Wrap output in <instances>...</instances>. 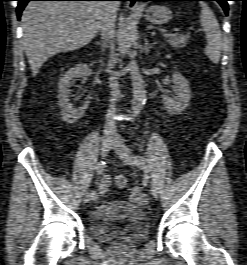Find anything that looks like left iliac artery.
<instances>
[{
	"instance_id": "obj_1",
	"label": "left iliac artery",
	"mask_w": 247,
	"mask_h": 265,
	"mask_svg": "<svg viewBox=\"0 0 247 265\" xmlns=\"http://www.w3.org/2000/svg\"><path fill=\"white\" fill-rule=\"evenodd\" d=\"M132 160L136 163V164H145L146 163V159L142 156H135L132 157Z\"/></svg>"
}]
</instances>
